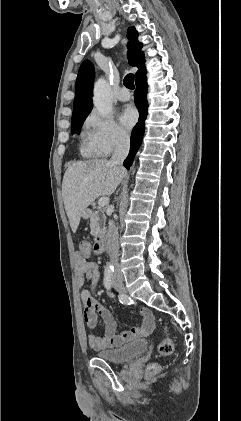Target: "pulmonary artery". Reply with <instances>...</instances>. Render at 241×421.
Masks as SVG:
<instances>
[{"mask_svg": "<svg viewBox=\"0 0 241 421\" xmlns=\"http://www.w3.org/2000/svg\"><path fill=\"white\" fill-rule=\"evenodd\" d=\"M119 101L125 102L130 99V92L126 88H121L116 95Z\"/></svg>", "mask_w": 241, "mask_h": 421, "instance_id": "e3ab8cb5", "label": "pulmonary artery"}]
</instances>
